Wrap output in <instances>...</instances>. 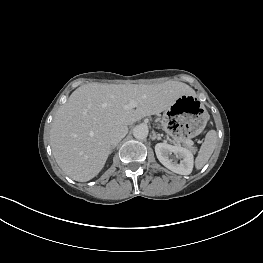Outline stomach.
Listing matches in <instances>:
<instances>
[{
	"instance_id": "0dacf381",
	"label": "stomach",
	"mask_w": 263,
	"mask_h": 263,
	"mask_svg": "<svg viewBox=\"0 0 263 263\" xmlns=\"http://www.w3.org/2000/svg\"><path fill=\"white\" fill-rule=\"evenodd\" d=\"M209 115L193 95H182L161 117L162 128L177 139L199 136L207 127Z\"/></svg>"
}]
</instances>
